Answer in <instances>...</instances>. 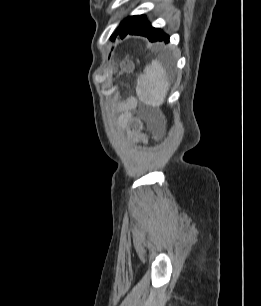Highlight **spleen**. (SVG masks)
Returning a JSON list of instances; mask_svg holds the SVG:
<instances>
[{
	"mask_svg": "<svg viewBox=\"0 0 261 306\" xmlns=\"http://www.w3.org/2000/svg\"><path fill=\"white\" fill-rule=\"evenodd\" d=\"M166 69L157 60H153L144 69L137 80L136 93L139 99L147 105L159 107L163 104L170 88Z\"/></svg>",
	"mask_w": 261,
	"mask_h": 306,
	"instance_id": "obj_1",
	"label": "spleen"
}]
</instances>
